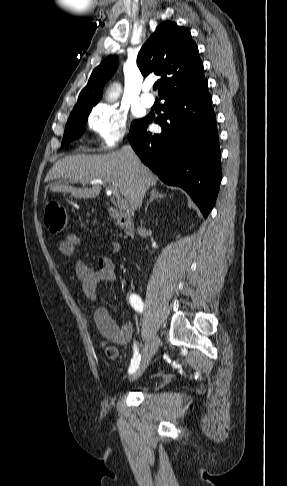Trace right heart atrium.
Segmentation results:
<instances>
[{"mask_svg":"<svg viewBox=\"0 0 287 486\" xmlns=\"http://www.w3.org/2000/svg\"><path fill=\"white\" fill-rule=\"evenodd\" d=\"M127 124V115L113 104H98L87 119V126L102 149L115 147L125 136Z\"/></svg>","mask_w":287,"mask_h":486,"instance_id":"obj_1","label":"right heart atrium"}]
</instances>
